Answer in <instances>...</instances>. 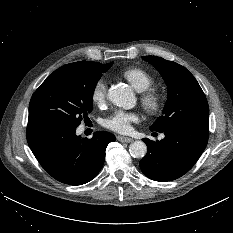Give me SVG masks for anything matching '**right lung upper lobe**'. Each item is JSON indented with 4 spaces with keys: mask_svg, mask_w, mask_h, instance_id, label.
Instances as JSON below:
<instances>
[{
    "mask_svg": "<svg viewBox=\"0 0 233 233\" xmlns=\"http://www.w3.org/2000/svg\"><path fill=\"white\" fill-rule=\"evenodd\" d=\"M113 64V62H111V63H108V64H104V65H112Z\"/></svg>",
    "mask_w": 233,
    "mask_h": 233,
    "instance_id": "obj_1",
    "label": "right lung upper lobe"
}]
</instances>
